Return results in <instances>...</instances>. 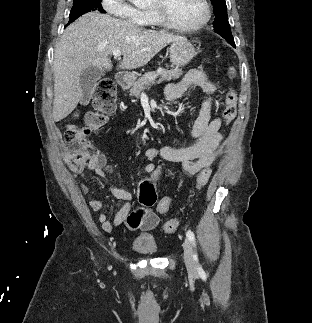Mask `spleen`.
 <instances>
[{"instance_id":"obj_1","label":"spleen","mask_w":312,"mask_h":323,"mask_svg":"<svg viewBox=\"0 0 312 323\" xmlns=\"http://www.w3.org/2000/svg\"><path fill=\"white\" fill-rule=\"evenodd\" d=\"M231 74H234V68H230Z\"/></svg>"}]
</instances>
